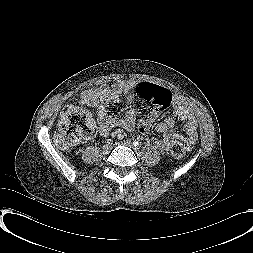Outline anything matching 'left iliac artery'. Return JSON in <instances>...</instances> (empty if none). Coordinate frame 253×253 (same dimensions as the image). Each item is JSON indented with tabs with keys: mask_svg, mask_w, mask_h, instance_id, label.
<instances>
[{
	"mask_svg": "<svg viewBox=\"0 0 253 253\" xmlns=\"http://www.w3.org/2000/svg\"><path fill=\"white\" fill-rule=\"evenodd\" d=\"M133 145H134L135 147H138V146H139V142L135 140V141L133 142Z\"/></svg>",
	"mask_w": 253,
	"mask_h": 253,
	"instance_id": "obj_1",
	"label": "left iliac artery"
}]
</instances>
